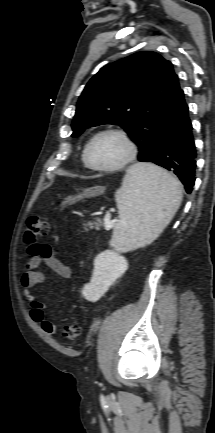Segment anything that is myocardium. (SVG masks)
<instances>
[{
    "label": "myocardium",
    "instance_id": "obj_1",
    "mask_svg": "<svg viewBox=\"0 0 215 433\" xmlns=\"http://www.w3.org/2000/svg\"><path fill=\"white\" fill-rule=\"evenodd\" d=\"M106 134H113L120 137L126 145L127 153L125 158L116 165L103 166V167L96 166L90 161L89 150L97 138ZM136 154H137V146L134 140L132 139V137L129 135V133L121 128L110 127L98 131L89 139L83 151V158L87 167H89L92 170L99 171V172L114 173V172L121 171L125 169L127 166H129L134 161Z\"/></svg>",
    "mask_w": 215,
    "mask_h": 433
}]
</instances>
